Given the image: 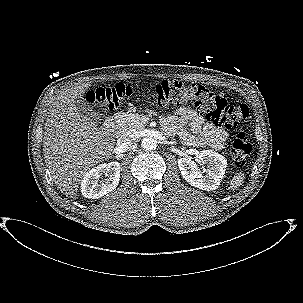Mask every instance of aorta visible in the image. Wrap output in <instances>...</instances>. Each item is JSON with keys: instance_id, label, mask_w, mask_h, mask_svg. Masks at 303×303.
Listing matches in <instances>:
<instances>
[{"instance_id": "aorta-1", "label": "aorta", "mask_w": 303, "mask_h": 303, "mask_svg": "<svg viewBox=\"0 0 303 303\" xmlns=\"http://www.w3.org/2000/svg\"><path fill=\"white\" fill-rule=\"evenodd\" d=\"M156 140L152 137H145L142 139L141 146L144 150H154L156 148Z\"/></svg>"}]
</instances>
